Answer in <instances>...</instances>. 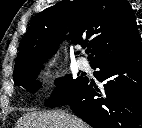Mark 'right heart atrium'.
I'll use <instances>...</instances> for the list:
<instances>
[{
    "instance_id": "1",
    "label": "right heart atrium",
    "mask_w": 142,
    "mask_h": 128,
    "mask_svg": "<svg viewBox=\"0 0 142 128\" xmlns=\"http://www.w3.org/2000/svg\"><path fill=\"white\" fill-rule=\"evenodd\" d=\"M55 77V71L53 69L52 65H48L46 68L44 74H43V79L46 83H51Z\"/></svg>"
}]
</instances>
